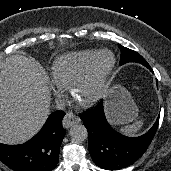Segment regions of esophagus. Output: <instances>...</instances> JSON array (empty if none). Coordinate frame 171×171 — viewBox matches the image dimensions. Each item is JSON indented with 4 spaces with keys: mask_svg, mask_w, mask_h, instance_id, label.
Here are the masks:
<instances>
[{
    "mask_svg": "<svg viewBox=\"0 0 171 171\" xmlns=\"http://www.w3.org/2000/svg\"><path fill=\"white\" fill-rule=\"evenodd\" d=\"M80 122V118L73 114L72 112H67L64 119H63V126L64 128H70L74 124H77Z\"/></svg>",
    "mask_w": 171,
    "mask_h": 171,
    "instance_id": "1",
    "label": "esophagus"
}]
</instances>
